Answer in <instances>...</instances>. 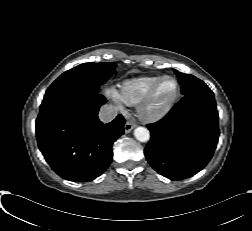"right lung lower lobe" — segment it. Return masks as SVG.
Here are the masks:
<instances>
[{
    "instance_id": "right-lung-lower-lobe-1",
    "label": "right lung lower lobe",
    "mask_w": 252,
    "mask_h": 231,
    "mask_svg": "<svg viewBox=\"0 0 252 231\" xmlns=\"http://www.w3.org/2000/svg\"><path fill=\"white\" fill-rule=\"evenodd\" d=\"M106 102L98 89H78L42 101L36 120L40 151L61 177L78 182L100 176L112 160V144L124 134L118 115L103 124L98 110Z\"/></svg>"
}]
</instances>
